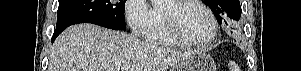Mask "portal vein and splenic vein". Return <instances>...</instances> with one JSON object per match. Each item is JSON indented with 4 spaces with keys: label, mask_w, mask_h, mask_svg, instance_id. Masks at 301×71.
<instances>
[{
    "label": "portal vein and splenic vein",
    "mask_w": 301,
    "mask_h": 71,
    "mask_svg": "<svg viewBox=\"0 0 301 71\" xmlns=\"http://www.w3.org/2000/svg\"><path fill=\"white\" fill-rule=\"evenodd\" d=\"M129 67H130L129 65H125V66H122L121 69H122V70H128Z\"/></svg>",
    "instance_id": "18ae733b"
}]
</instances>
